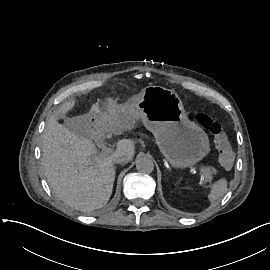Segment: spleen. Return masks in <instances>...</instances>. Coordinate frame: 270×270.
Wrapping results in <instances>:
<instances>
[{
	"mask_svg": "<svg viewBox=\"0 0 270 270\" xmlns=\"http://www.w3.org/2000/svg\"><path fill=\"white\" fill-rule=\"evenodd\" d=\"M207 199L209 202H213L222 197L228 190L227 177H221L208 186Z\"/></svg>",
	"mask_w": 270,
	"mask_h": 270,
	"instance_id": "1",
	"label": "spleen"
}]
</instances>
